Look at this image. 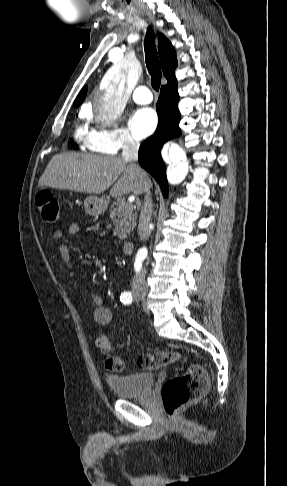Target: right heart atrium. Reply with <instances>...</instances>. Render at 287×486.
<instances>
[{"label":"right heart atrium","instance_id":"right-heart-atrium-1","mask_svg":"<svg viewBox=\"0 0 287 486\" xmlns=\"http://www.w3.org/2000/svg\"><path fill=\"white\" fill-rule=\"evenodd\" d=\"M85 145L93 152L117 154L120 151L136 149L138 142L125 127L114 125L91 130V136Z\"/></svg>","mask_w":287,"mask_h":486}]
</instances>
